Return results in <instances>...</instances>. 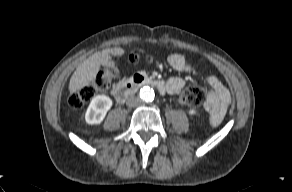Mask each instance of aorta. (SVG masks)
<instances>
[{"mask_svg":"<svg viewBox=\"0 0 292 192\" xmlns=\"http://www.w3.org/2000/svg\"><path fill=\"white\" fill-rule=\"evenodd\" d=\"M155 93L152 88L149 86H144L140 90V98L145 102H151L154 100Z\"/></svg>","mask_w":292,"mask_h":192,"instance_id":"obj_1","label":"aorta"}]
</instances>
